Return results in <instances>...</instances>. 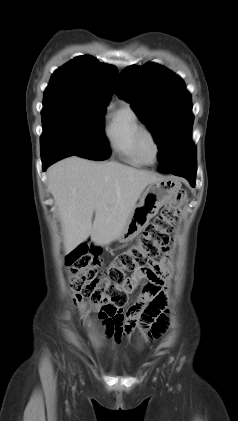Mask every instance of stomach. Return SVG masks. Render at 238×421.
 <instances>
[{
  "label": "stomach",
  "mask_w": 238,
  "mask_h": 421,
  "mask_svg": "<svg viewBox=\"0 0 238 421\" xmlns=\"http://www.w3.org/2000/svg\"><path fill=\"white\" fill-rule=\"evenodd\" d=\"M179 188V183L173 178H162L149 184L139 203L129 214L117 239L124 243L133 240L148 225L159 209L174 197Z\"/></svg>",
  "instance_id": "stomach-1"
}]
</instances>
